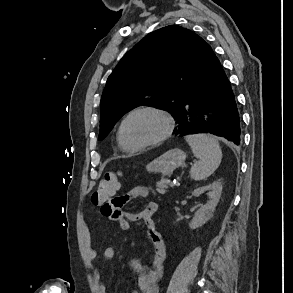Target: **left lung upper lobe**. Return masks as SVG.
Here are the masks:
<instances>
[{"label":"left lung upper lobe","mask_w":293,"mask_h":293,"mask_svg":"<svg viewBox=\"0 0 293 293\" xmlns=\"http://www.w3.org/2000/svg\"><path fill=\"white\" fill-rule=\"evenodd\" d=\"M213 56L207 42L183 27L169 25L148 34L108 77L98 140L125 113L142 105L166 108L178 120L183 100L205 79Z\"/></svg>","instance_id":"1"}]
</instances>
